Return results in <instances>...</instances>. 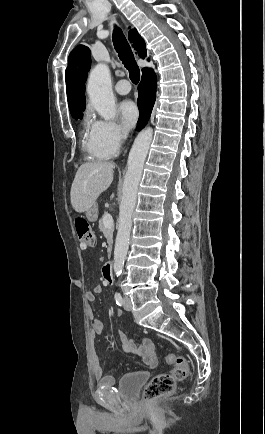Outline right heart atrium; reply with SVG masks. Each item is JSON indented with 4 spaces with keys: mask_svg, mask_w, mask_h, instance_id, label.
Wrapping results in <instances>:
<instances>
[{
    "mask_svg": "<svg viewBox=\"0 0 265 434\" xmlns=\"http://www.w3.org/2000/svg\"><path fill=\"white\" fill-rule=\"evenodd\" d=\"M91 129L95 135L93 139L95 145L91 148L93 154H106L109 159H112L115 154L125 153V141L129 140L130 135L124 132L121 122L95 118Z\"/></svg>",
    "mask_w": 265,
    "mask_h": 434,
    "instance_id": "obj_1",
    "label": "right heart atrium"
}]
</instances>
